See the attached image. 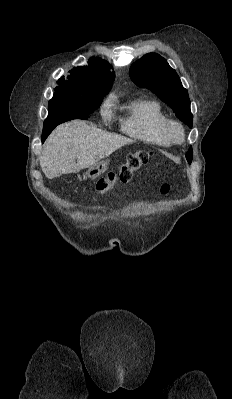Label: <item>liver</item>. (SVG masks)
<instances>
[{
  "label": "liver",
  "instance_id": "1",
  "mask_svg": "<svg viewBox=\"0 0 232 399\" xmlns=\"http://www.w3.org/2000/svg\"><path fill=\"white\" fill-rule=\"evenodd\" d=\"M133 140L99 130L94 124L74 120L58 126L47 138L40 166L48 180L90 168ZM77 160V162H76Z\"/></svg>",
  "mask_w": 232,
  "mask_h": 399
}]
</instances>
